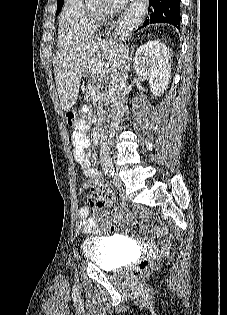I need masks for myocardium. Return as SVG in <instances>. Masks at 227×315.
<instances>
[{
  "label": "myocardium",
  "mask_w": 227,
  "mask_h": 315,
  "mask_svg": "<svg viewBox=\"0 0 227 315\" xmlns=\"http://www.w3.org/2000/svg\"><path fill=\"white\" fill-rule=\"evenodd\" d=\"M101 20L99 12H93L88 6L84 7V21L90 25H98Z\"/></svg>",
  "instance_id": "1"
}]
</instances>
